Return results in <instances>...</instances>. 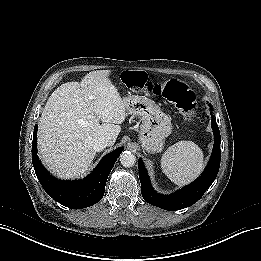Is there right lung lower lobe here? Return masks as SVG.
Here are the masks:
<instances>
[{"instance_id":"obj_1","label":"right lung lower lobe","mask_w":261,"mask_h":261,"mask_svg":"<svg viewBox=\"0 0 261 261\" xmlns=\"http://www.w3.org/2000/svg\"><path fill=\"white\" fill-rule=\"evenodd\" d=\"M37 124L34 127L32 162L35 173L43 189L55 201L72 208L80 209L97 203L104 195L105 184L122 147L106 155L88 177L79 181H61L50 175L37 155Z\"/></svg>"}]
</instances>
